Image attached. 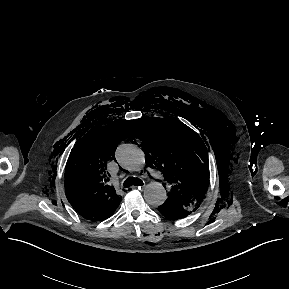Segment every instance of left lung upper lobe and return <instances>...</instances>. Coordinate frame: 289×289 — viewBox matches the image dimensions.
I'll use <instances>...</instances> for the list:
<instances>
[{
  "instance_id": "left-lung-upper-lobe-1",
  "label": "left lung upper lobe",
  "mask_w": 289,
  "mask_h": 289,
  "mask_svg": "<svg viewBox=\"0 0 289 289\" xmlns=\"http://www.w3.org/2000/svg\"><path fill=\"white\" fill-rule=\"evenodd\" d=\"M148 163L160 168L172 190L164 204L189 212L199 208L208 189L209 163L202 139L175 118L138 121Z\"/></svg>"
}]
</instances>
